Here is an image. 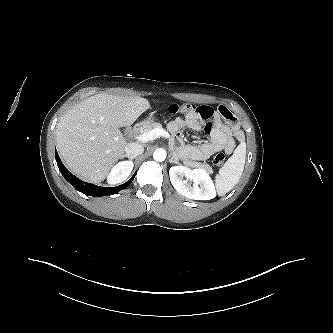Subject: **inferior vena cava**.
<instances>
[{"instance_id":"602c4592","label":"inferior vena cava","mask_w":333,"mask_h":333,"mask_svg":"<svg viewBox=\"0 0 333 333\" xmlns=\"http://www.w3.org/2000/svg\"><path fill=\"white\" fill-rule=\"evenodd\" d=\"M125 152L129 156L136 157L144 152V148L142 145L132 142L127 144L125 147Z\"/></svg>"}]
</instances>
